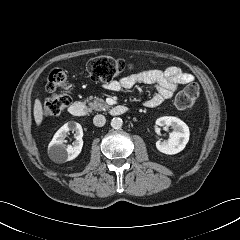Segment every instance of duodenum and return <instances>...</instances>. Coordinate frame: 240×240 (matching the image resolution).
Masks as SVG:
<instances>
[{
	"mask_svg": "<svg viewBox=\"0 0 240 240\" xmlns=\"http://www.w3.org/2000/svg\"><path fill=\"white\" fill-rule=\"evenodd\" d=\"M128 110V107L124 105H116L109 110V113L111 115L117 116L125 114L126 112H128ZM69 112L74 117H83L87 112V108L83 102L75 101L70 105Z\"/></svg>",
	"mask_w": 240,
	"mask_h": 240,
	"instance_id": "1",
	"label": "duodenum"
}]
</instances>
